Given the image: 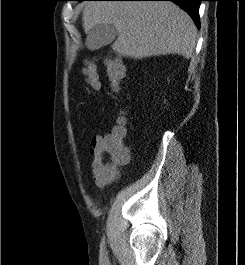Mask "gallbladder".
Returning a JSON list of instances; mask_svg holds the SVG:
<instances>
[{
  "label": "gallbladder",
  "mask_w": 245,
  "mask_h": 265,
  "mask_svg": "<svg viewBox=\"0 0 245 265\" xmlns=\"http://www.w3.org/2000/svg\"><path fill=\"white\" fill-rule=\"evenodd\" d=\"M118 32L112 24H97L88 32L86 45L90 49H99L111 44Z\"/></svg>",
  "instance_id": "1"
}]
</instances>
